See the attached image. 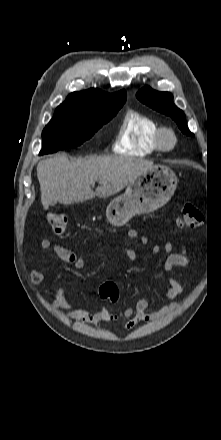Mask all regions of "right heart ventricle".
I'll use <instances>...</instances> for the list:
<instances>
[{"label":"right heart ventricle","instance_id":"e07e8e85","mask_svg":"<svg viewBox=\"0 0 221 440\" xmlns=\"http://www.w3.org/2000/svg\"><path fill=\"white\" fill-rule=\"evenodd\" d=\"M160 125L152 118L135 110L125 113L115 140L113 150L117 154L143 157L160 151L157 132Z\"/></svg>","mask_w":221,"mask_h":440}]
</instances>
